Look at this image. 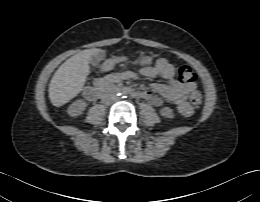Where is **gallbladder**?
Segmentation results:
<instances>
[{"instance_id": "bac80fb5", "label": "gallbladder", "mask_w": 260, "mask_h": 202, "mask_svg": "<svg viewBox=\"0 0 260 202\" xmlns=\"http://www.w3.org/2000/svg\"><path fill=\"white\" fill-rule=\"evenodd\" d=\"M104 59V53L103 52H98L96 54H94L91 59H90V64L93 66V67H97L99 65V62L101 60Z\"/></svg>"}]
</instances>
